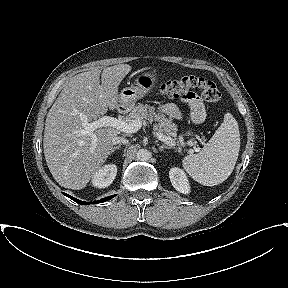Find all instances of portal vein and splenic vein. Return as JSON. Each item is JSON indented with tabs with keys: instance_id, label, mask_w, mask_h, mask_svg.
Wrapping results in <instances>:
<instances>
[{
	"instance_id": "18ae733b",
	"label": "portal vein and splenic vein",
	"mask_w": 288,
	"mask_h": 288,
	"mask_svg": "<svg viewBox=\"0 0 288 288\" xmlns=\"http://www.w3.org/2000/svg\"><path fill=\"white\" fill-rule=\"evenodd\" d=\"M82 121H83L82 123L83 130L81 131V133L83 135L89 134L91 136L92 149H95L97 145V139H96V136L93 134V132L98 128L113 127L121 132L135 133L144 124L140 119L133 120L132 122H126V121H123L114 117H110V116H103L99 118L98 120H95L91 123L88 122L87 118L83 117ZM154 134L159 140L165 142L166 144L170 146L176 145L175 141L171 137H167L159 131H155ZM191 152H193V150H191Z\"/></svg>"
}]
</instances>
